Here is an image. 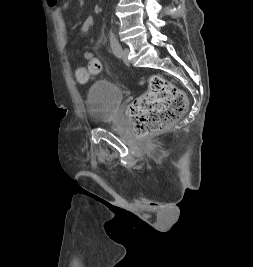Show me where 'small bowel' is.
<instances>
[{
    "label": "small bowel",
    "mask_w": 253,
    "mask_h": 267,
    "mask_svg": "<svg viewBox=\"0 0 253 267\" xmlns=\"http://www.w3.org/2000/svg\"><path fill=\"white\" fill-rule=\"evenodd\" d=\"M49 5L53 7V14L56 19L59 39L62 47L66 48L68 46V38H67V31L66 25L63 18V12L68 8V2L63 3L62 5L57 4V0H47ZM94 24V18L89 16L84 23L82 24V31L87 33L90 31Z\"/></svg>",
    "instance_id": "small-bowel-1"
}]
</instances>
